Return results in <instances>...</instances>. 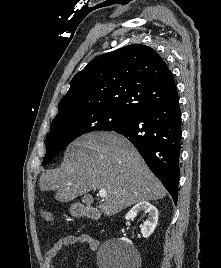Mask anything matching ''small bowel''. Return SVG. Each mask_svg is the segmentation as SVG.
<instances>
[{
	"label": "small bowel",
	"mask_w": 221,
	"mask_h": 268,
	"mask_svg": "<svg viewBox=\"0 0 221 268\" xmlns=\"http://www.w3.org/2000/svg\"><path fill=\"white\" fill-rule=\"evenodd\" d=\"M73 245L87 246L90 250L96 251L98 249V241L88 234L68 235L60 238L52 246H50L44 254L45 268H56L55 260L59 251L69 248Z\"/></svg>",
	"instance_id": "obj_1"
}]
</instances>
